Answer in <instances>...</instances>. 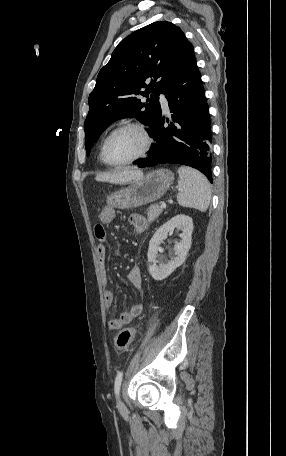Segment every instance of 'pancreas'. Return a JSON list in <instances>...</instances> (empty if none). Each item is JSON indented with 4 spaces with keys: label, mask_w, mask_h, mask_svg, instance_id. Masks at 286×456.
Wrapping results in <instances>:
<instances>
[{
    "label": "pancreas",
    "mask_w": 286,
    "mask_h": 456,
    "mask_svg": "<svg viewBox=\"0 0 286 456\" xmlns=\"http://www.w3.org/2000/svg\"><path fill=\"white\" fill-rule=\"evenodd\" d=\"M163 209L157 204H152L147 210L148 220L154 221L162 213Z\"/></svg>",
    "instance_id": "1"
}]
</instances>
